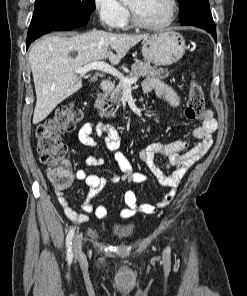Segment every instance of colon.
Returning a JSON list of instances; mask_svg holds the SVG:
<instances>
[{
	"label": "colon",
	"instance_id": "5ec220e1",
	"mask_svg": "<svg viewBox=\"0 0 247 296\" xmlns=\"http://www.w3.org/2000/svg\"><path fill=\"white\" fill-rule=\"evenodd\" d=\"M204 108V92L192 78L185 116L189 120L199 119ZM81 119L82 112L73 103H67L58 107L53 115L36 128L37 152L41 162L47 166V176L56 189H66L74 180L71 164L67 161L69 150L62 134L72 131Z\"/></svg>",
	"mask_w": 247,
	"mask_h": 296
}]
</instances>
